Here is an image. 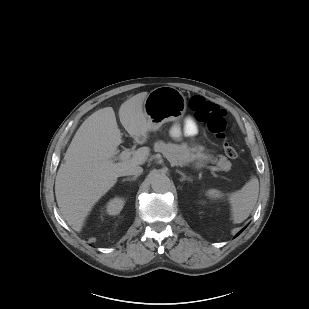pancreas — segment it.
Listing matches in <instances>:
<instances>
[{
  "label": "pancreas",
  "mask_w": 309,
  "mask_h": 309,
  "mask_svg": "<svg viewBox=\"0 0 309 309\" xmlns=\"http://www.w3.org/2000/svg\"><path fill=\"white\" fill-rule=\"evenodd\" d=\"M154 151L162 153L173 164L184 165L189 161L185 148L176 144L158 141L154 144ZM219 157V160L216 158L212 162L222 170H229L231 162L225 156L220 155Z\"/></svg>",
  "instance_id": "1"
}]
</instances>
